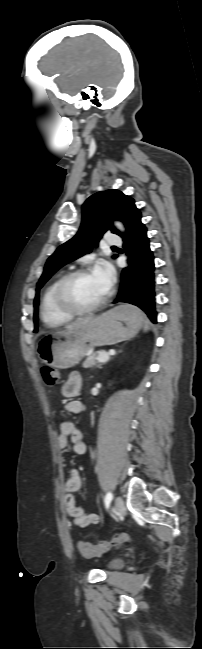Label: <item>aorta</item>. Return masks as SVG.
<instances>
[{
  "mask_svg": "<svg viewBox=\"0 0 202 649\" xmlns=\"http://www.w3.org/2000/svg\"><path fill=\"white\" fill-rule=\"evenodd\" d=\"M116 225H117V227H118L119 229H121V230L123 229L121 223L116 222Z\"/></svg>",
  "mask_w": 202,
  "mask_h": 649,
  "instance_id": "1",
  "label": "aorta"
}]
</instances>
